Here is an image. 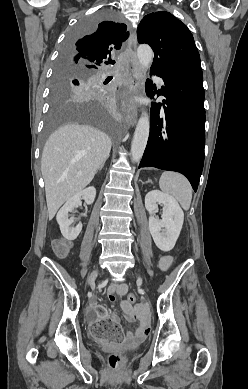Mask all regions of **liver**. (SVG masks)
Masks as SVG:
<instances>
[{"instance_id": "liver-1", "label": "liver", "mask_w": 248, "mask_h": 389, "mask_svg": "<svg viewBox=\"0 0 248 389\" xmlns=\"http://www.w3.org/2000/svg\"><path fill=\"white\" fill-rule=\"evenodd\" d=\"M108 135L89 125L66 124L53 132L42 152L41 172L49 219L94 178L111 150Z\"/></svg>"}]
</instances>
